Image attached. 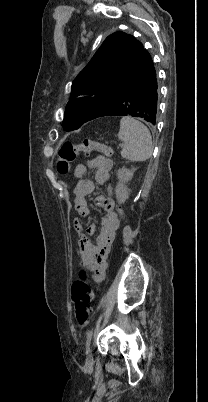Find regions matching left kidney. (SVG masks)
<instances>
[{"label": "left kidney", "mask_w": 208, "mask_h": 402, "mask_svg": "<svg viewBox=\"0 0 208 402\" xmlns=\"http://www.w3.org/2000/svg\"><path fill=\"white\" fill-rule=\"evenodd\" d=\"M135 172V168H132V170H127V168H121V170H118L117 172V178L119 180L118 186H116L115 194H116V200L119 202V204H124L126 200H128L129 192L127 186H125L126 182H129V180H132L133 174Z\"/></svg>", "instance_id": "obj_1"}]
</instances>
